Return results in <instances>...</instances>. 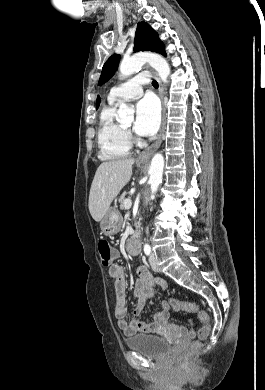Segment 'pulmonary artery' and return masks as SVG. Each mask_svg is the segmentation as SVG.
Listing matches in <instances>:
<instances>
[{
  "label": "pulmonary artery",
  "mask_w": 265,
  "mask_h": 390,
  "mask_svg": "<svg viewBox=\"0 0 265 390\" xmlns=\"http://www.w3.org/2000/svg\"><path fill=\"white\" fill-rule=\"evenodd\" d=\"M148 73H140L120 85L113 87L108 95L109 102L129 101L141 97L142 86L149 83Z\"/></svg>",
  "instance_id": "e3ab8cb5"
}]
</instances>
